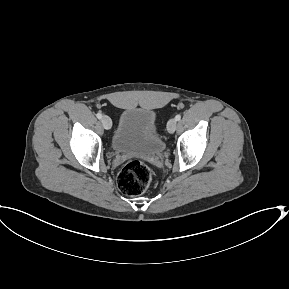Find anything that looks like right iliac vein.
Returning <instances> with one entry per match:
<instances>
[{
    "instance_id": "right-iliac-vein-1",
    "label": "right iliac vein",
    "mask_w": 289,
    "mask_h": 289,
    "mask_svg": "<svg viewBox=\"0 0 289 289\" xmlns=\"http://www.w3.org/2000/svg\"><path fill=\"white\" fill-rule=\"evenodd\" d=\"M101 123H102L103 127L107 130L112 127V121H111L110 117H108L106 115L101 118Z\"/></svg>"
}]
</instances>
